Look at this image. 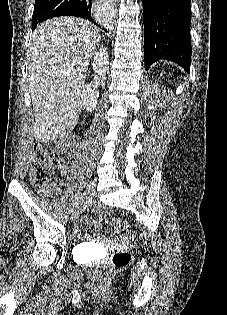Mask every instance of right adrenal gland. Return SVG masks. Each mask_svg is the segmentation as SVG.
<instances>
[{
	"mask_svg": "<svg viewBox=\"0 0 227 315\" xmlns=\"http://www.w3.org/2000/svg\"><path fill=\"white\" fill-rule=\"evenodd\" d=\"M100 46L103 47L101 44H99L98 47H100Z\"/></svg>",
	"mask_w": 227,
	"mask_h": 315,
	"instance_id": "2a0ac1e0",
	"label": "right adrenal gland"
}]
</instances>
